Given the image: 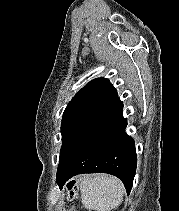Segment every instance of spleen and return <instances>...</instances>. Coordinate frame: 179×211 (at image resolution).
I'll list each match as a JSON object with an SVG mask.
<instances>
[{
  "instance_id": "1",
  "label": "spleen",
  "mask_w": 179,
  "mask_h": 211,
  "mask_svg": "<svg viewBox=\"0 0 179 211\" xmlns=\"http://www.w3.org/2000/svg\"><path fill=\"white\" fill-rule=\"evenodd\" d=\"M81 198L89 210L111 211L118 207L125 193L122 182L106 174L87 175L80 183Z\"/></svg>"
}]
</instances>
